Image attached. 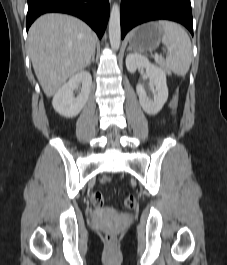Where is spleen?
<instances>
[{
  "label": "spleen",
  "instance_id": "spleen-1",
  "mask_svg": "<svg viewBox=\"0 0 227 265\" xmlns=\"http://www.w3.org/2000/svg\"><path fill=\"white\" fill-rule=\"evenodd\" d=\"M163 31L162 43L168 48L165 65L178 76H185L192 60V45L186 31L177 23L161 20L155 23Z\"/></svg>",
  "mask_w": 227,
  "mask_h": 265
}]
</instances>
